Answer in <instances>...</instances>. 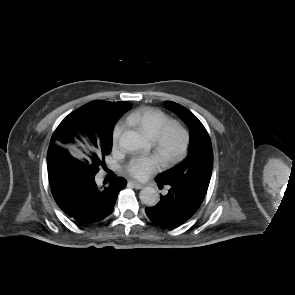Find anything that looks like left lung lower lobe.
Wrapping results in <instances>:
<instances>
[{"instance_id":"obj_1","label":"left lung lower lobe","mask_w":295,"mask_h":295,"mask_svg":"<svg viewBox=\"0 0 295 295\" xmlns=\"http://www.w3.org/2000/svg\"><path fill=\"white\" fill-rule=\"evenodd\" d=\"M158 187H168V193L161 196L160 201L153 207H148L145 212L155 224L169 228L179 226L189 220L202 204L206 191L205 188L194 189L185 185L169 182L162 183L155 179Z\"/></svg>"}]
</instances>
